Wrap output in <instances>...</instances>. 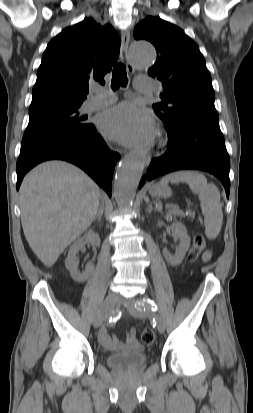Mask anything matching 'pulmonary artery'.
I'll return each instance as SVG.
<instances>
[{
    "label": "pulmonary artery",
    "instance_id": "e3ab8cb5",
    "mask_svg": "<svg viewBox=\"0 0 253 413\" xmlns=\"http://www.w3.org/2000/svg\"><path fill=\"white\" fill-rule=\"evenodd\" d=\"M139 91L148 92L153 90V84L150 81H147L144 85L138 87ZM116 98L113 95L104 93L98 89L94 90V95L89 98L84 104L85 111H93L102 107H105L113 103Z\"/></svg>",
    "mask_w": 253,
    "mask_h": 413
}]
</instances>
